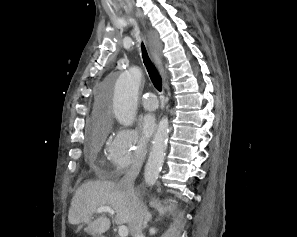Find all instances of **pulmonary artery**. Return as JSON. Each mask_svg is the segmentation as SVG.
<instances>
[{"label": "pulmonary artery", "instance_id": "pulmonary-artery-1", "mask_svg": "<svg viewBox=\"0 0 297 237\" xmlns=\"http://www.w3.org/2000/svg\"><path fill=\"white\" fill-rule=\"evenodd\" d=\"M141 104L147 110H155L158 107V101L152 93H145L141 99Z\"/></svg>", "mask_w": 297, "mask_h": 237}]
</instances>
